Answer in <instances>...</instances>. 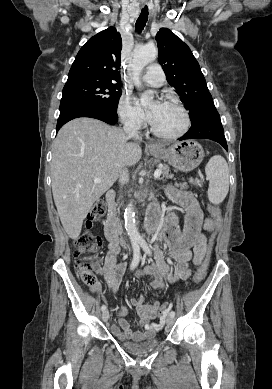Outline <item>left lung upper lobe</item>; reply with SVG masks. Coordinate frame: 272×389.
I'll list each match as a JSON object with an SVG mask.
<instances>
[{"label": "left lung upper lobe", "mask_w": 272, "mask_h": 389, "mask_svg": "<svg viewBox=\"0 0 272 389\" xmlns=\"http://www.w3.org/2000/svg\"><path fill=\"white\" fill-rule=\"evenodd\" d=\"M156 41L167 81L176 89L193 122L215 107L199 63L190 48L169 29L161 28Z\"/></svg>", "instance_id": "5c2ea615"}]
</instances>
